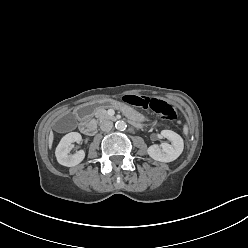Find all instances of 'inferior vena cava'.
Returning a JSON list of instances; mask_svg holds the SVG:
<instances>
[{"label":"inferior vena cava","instance_id":"obj_1","mask_svg":"<svg viewBox=\"0 0 248 248\" xmlns=\"http://www.w3.org/2000/svg\"><path fill=\"white\" fill-rule=\"evenodd\" d=\"M113 127V123L109 120H106L100 124V128L103 131H110Z\"/></svg>","mask_w":248,"mask_h":248}]
</instances>
